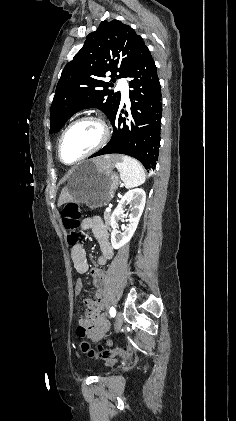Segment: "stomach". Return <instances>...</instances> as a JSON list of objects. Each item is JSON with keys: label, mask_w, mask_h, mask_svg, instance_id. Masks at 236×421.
<instances>
[{"label": "stomach", "mask_w": 236, "mask_h": 421, "mask_svg": "<svg viewBox=\"0 0 236 421\" xmlns=\"http://www.w3.org/2000/svg\"><path fill=\"white\" fill-rule=\"evenodd\" d=\"M119 182L113 166H101L87 158L71 168L68 186L74 202L97 208L114 196Z\"/></svg>", "instance_id": "obj_1"}]
</instances>
